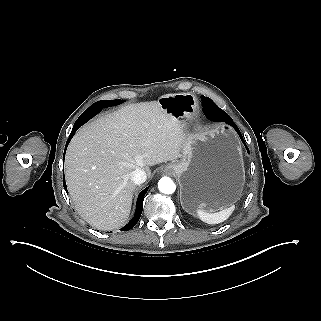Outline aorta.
Returning <instances> with one entry per match:
<instances>
[{"label": "aorta", "mask_w": 321, "mask_h": 321, "mask_svg": "<svg viewBox=\"0 0 321 321\" xmlns=\"http://www.w3.org/2000/svg\"><path fill=\"white\" fill-rule=\"evenodd\" d=\"M158 188L164 194H172L176 190V185L171 178L163 177L158 182Z\"/></svg>", "instance_id": "1"}]
</instances>
